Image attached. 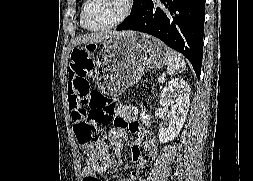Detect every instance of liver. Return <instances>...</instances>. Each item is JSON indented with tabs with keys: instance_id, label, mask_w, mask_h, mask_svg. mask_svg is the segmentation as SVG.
<instances>
[{
	"instance_id": "6515ba94",
	"label": "liver",
	"mask_w": 253,
	"mask_h": 181,
	"mask_svg": "<svg viewBox=\"0 0 253 181\" xmlns=\"http://www.w3.org/2000/svg\"><path fill=\"white\" fill-rule=\"evenodd\" d=\"M134 33L133 31H122V32H99V33H92L89 35H85L80 37L79 39L76 40L74 45H78L81 43L84 44H89V43H100L102 41H105L109 38L121 36V35H130Z\"/></svg>"
}]
</instances>
